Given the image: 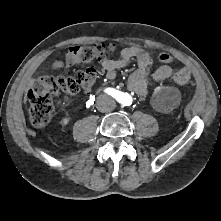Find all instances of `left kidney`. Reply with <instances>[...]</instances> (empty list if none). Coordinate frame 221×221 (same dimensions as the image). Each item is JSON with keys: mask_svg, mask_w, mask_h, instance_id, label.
Listing matches in <instances>:
<instances>
[{"mask_svg": "<svg viewBox=\"0 0 221 221\" xmlns=\"http://www.w3.org/2000/svg\"><path fill=\"white\" fill-rule=\"evenodd\" d=\"M180 101V92L175 87H156L153 93V102L159 112L173 110Z\"/></svg>", "mask_w": 221, "mask_h": 221, "instance_id": "5707ae66", "label": "left kidney"}]
</instances>
